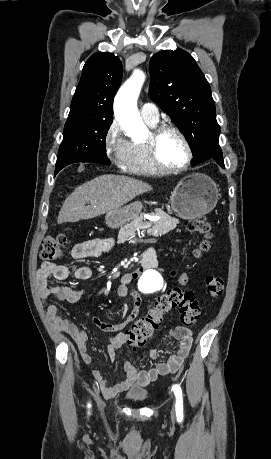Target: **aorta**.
I'll use <instances>...</instances> for the list:
<instances>
[{
  "instance_id": "762f6f07",
  "label": "aorta",
  "mask_w": 271,
  "mask_h": 459,
  "mask_svg": "<svg viewBox=\"0 0 271 459\" xmlns=\"http://www.w3.org/2000/svg\"><path fill=\"white\" fill-rule=\"evenodd\" d=\"M145 81V75L137 71L119 89L114 100V114L121 127L129 134L143 137L146 127L137 109V99ZM143 293H153L164 285V278L158 269L150 268L138 280Z\"/></svg>"
}]
</instances>
